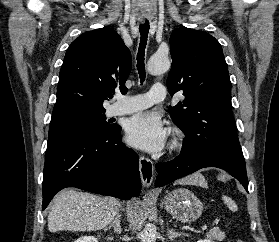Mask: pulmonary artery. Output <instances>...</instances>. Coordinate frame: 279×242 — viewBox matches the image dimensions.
Here are the masks:
<instances>
[{
	"mask_svg": "<svg viewBox=\"0 0 279 242\" xmlns=\"http://www.w3.org/2000/svg\"><path fill=\"white\" fill-rule=\"evenodd\" d=\"M165 95V87L161 84H155L147 93L118 98L117 103L111 106L109 114L111 116H120L144 110L155 103L163 101Z\"/></svg>",
	"mask_w": 279,
	"mask_h": 242,
	"instance_id": "pulmonary-artery-1",
	"label": "pulmonary artery"
}]
</instances>
